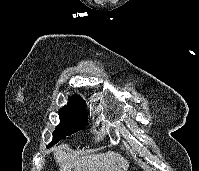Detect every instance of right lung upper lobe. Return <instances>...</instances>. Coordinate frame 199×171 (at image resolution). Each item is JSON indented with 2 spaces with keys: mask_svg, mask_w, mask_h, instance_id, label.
<instances>
[{
  "mask_svg": "<svg viewBox=\"0 0 199 171\" xmlns=\"http://www.w3.org/2000/svg\"><path fill=\"white\" fill-rule=\"evenodd\" d=\"M68 104H72V105H85L83 99L80 96L74 95L70 101L68 102Z\"/></svg>",
  "mask_w": 199,
  "mask_h": 171,
  "instance_id": "right-lung-upper-lobe-1",
  "label": "right lung upper lobe"
}]
</instances>
